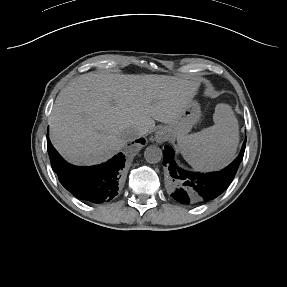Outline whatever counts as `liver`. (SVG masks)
I'll use <instances>...</instances> for the list:
<instances>
[{"mask_svg": "<svg viewBox=\"0 0 287 287\" xmlns=\"http://www.w3.org/2000/svg\"><path fill=\"white\" fill-rule=\"evenodd\" d=\"M198 87L199 82L165 75H80L55 100L51 142L72 164H100L122 150L127 128L149 133L155 120L179 119Z\"/></svg>", "mask_w": 287, "mask_h": 287, "instance_id": "6515ba94", "label": "liver"}]
</instances>
